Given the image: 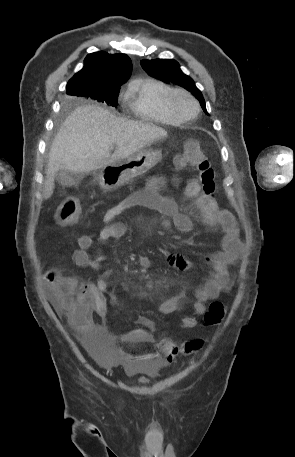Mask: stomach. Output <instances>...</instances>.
Wrapping results in <instances>:
<instances>
[{"label": "stomach", "mask_w": 295, "mask_h": 457, "mask_svg": "<svg viewBox=\"0 0 295 457\" xmlns=\"http://www.w3.org/2000/svg\"><path fill=\"white\" fill-rule=\"evenodd\" d=\"M162 159L160 149H142L129 157L113 162L97 171L99 185L104 190H115L142 175Z\"/></svg>", "instance_id": "1"}]
</instances>
